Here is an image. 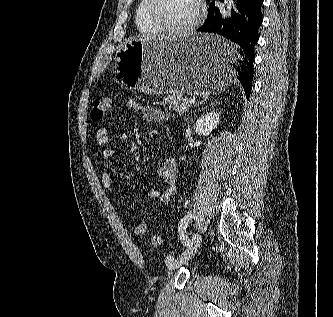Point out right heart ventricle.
I'll list each match as a JSON object with an SVG mask.
<instances>
[{"label":"right heart ventricle","mask_w":333,"mask_h":317,"mask_svg":"<svg viewBox=\"0 0 333 317\" xmlns=\"http://www.w3.org/2000/svg\"><path fill=\"white\" fill-rule=\"evenodd\" d=\"M147 3L148 0H139L135 11V22L137 29L146 35L159 34L161 30L157 28L150 20L147 14Z\"/></svg>","instance_id":"1"}]
</instances>
